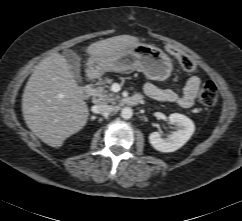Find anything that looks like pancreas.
I'll return each instance as SVG.
<instances>
[{
  "instance_id": "pancreas-1",
  "label": "pancreas",
  "mask_w": 242,
  "mask_h": 221,
  "mask_svg": "<svg viewBox=\"0 0 242 221\" xmlns=\"http://www.w3.org/2000/svg\"><path fill=\"white\" fill-rule=\"evenodd\" d=\"M113 82L112 79L105 78V80L100 79L96 83V87H94L91 91V95L93 96L94 103H112L116 104L120 97L115 95L110 87L107 84H111Z\"/></svg>"
}]
</instances>
